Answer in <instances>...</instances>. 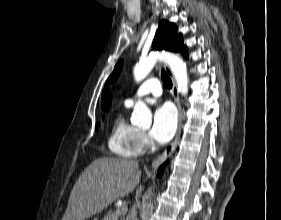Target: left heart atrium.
<instances>
[{"mask_svg":"<svg viewBox=\"0 0 281 220\" xmlns=\"http://www.w3.org/2000/svg\"><path fill=\"white\" fill-rule=\"evenodd\" d=\"M177 115L172 106L165 104L158 107L153 116L150 136L158 143L172 139L177 129Z\"/></svg>","mask_w":281,"mask_h":220,"instance_id":"39dd6f15","label":"left heart atrium"}]
</instances>
